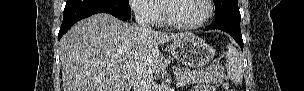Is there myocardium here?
Wrapping results in <instances>:
<instances>
[{
    "mask_svg": "<svg viewBox=\"0 0 304 91\" xmlns=\"http://www.w3.org/2000/svg\"><path fill=\"white\" fill-rule=\"evenodd\" d=\"M173 1L177 0H165L162 2L163 9H164V15H165V20L166 23L173 28L176 29H182V30H192V29H197L202 26H204L212 17L213 14V1L212 0H203L206 7L207 11L205 16L198 22L192 23V24H186V23H181L176 21L170 14V3Z\"/></svg>",
    "mask_w": 304,
    "mask_h": 91,
    "instance_id": "obj_1",
    "label": "myocardium"
}]
</instances>
